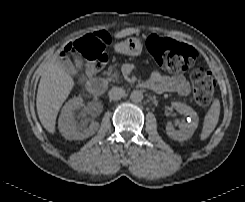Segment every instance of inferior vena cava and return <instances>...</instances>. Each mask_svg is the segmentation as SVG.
<instances>
[{
  "label": "inferior vena cava",
  "instance_id": "1",
  "mask_svg": "<svg viewBox=\"0 0 245 202\" xmlns=\"http://www.w3.org/2000/svg\"><path fill=\"white\" fill-rule=\"evenodd\" d=\"M108 95L112 100H119L125 95V90L120 87H114L109 90Z\"/></svg>",
  "mask_w": 245,
  "mask_h": 202
}]
</instances>
